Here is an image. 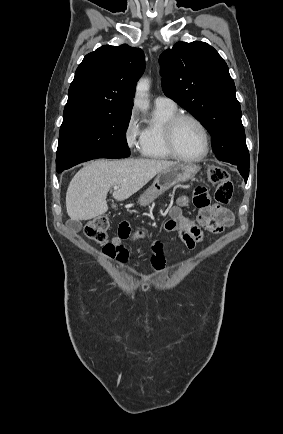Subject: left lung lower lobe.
I'll use <instances>...</instances> for the list:
<instances>
[{
    "mask_svg": "<svg viewBox=\"0 0 283 434\" xmlns=\"http://www.w3.org/2000/svg\"><path fill=\"white\" fill-rule=\"evenodd\" d=\"M236 166L238 167V170L244 178L245 182H247L249 176V165L237 164Z\"/></svg>",
    "mask_w": 283,
    "mask_h": 434,
    "instance_id": "0a47b994",
    "label": "left lung lower lobe"
}]
</instances>
